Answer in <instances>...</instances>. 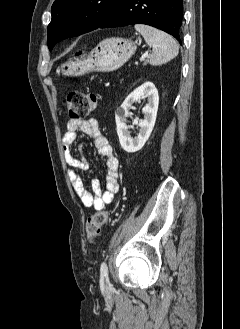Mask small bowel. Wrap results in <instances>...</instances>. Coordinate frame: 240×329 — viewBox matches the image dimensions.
I'll list each match as a JSON object with an SVG mask.
<instances>
[{
	"mask_svg": "<svg viewBox=\"0 0 240 329\" xmlns=\"http://www.w3.org/2000/svg\"><path fill=\"white\" fill-rule=\"evenodd\" d=\"M79 133L89 136L98 153L104 157L106 170L105 190L102 189L100 181L96 179L92 182V191H89L84 184L82 176L78 173V170H85L88 166L84 158L78 160L72 154V146L76 142ZM62 149L65 161L71 168L69 177L72 186L83 204L95 210H102L106 205L114 203L120 189L119 163L113 154L110 142L101 132L97 120L94 118L70 120L67 123V131L62 138Z\"/></svg>",
	"mask_w": 240,
	"mask_h": 329,
	"instance_id": "c3829d8e",
	"label": "small bowel"
}]
</instances>
